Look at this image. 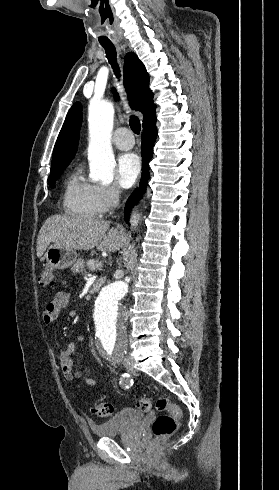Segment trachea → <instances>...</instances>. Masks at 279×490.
I'll return each instance as SVG.
<instances>
[{"label": "trachea", "instance_id": "1", "mask_svg": "<svg viewBox=\"0 0 279 490\" xmlns=\"http://www.w3.org/2000/svg\"><path fill=\"white\" fill-rule=\"evenodd\" d=\"M106 56L112 65L114 72L117 76H119V68L116 63V50L115 47L113 46H104ZM129 125L131 127V130L136 133L137 135L140 133L141 125H140V120L136 116H131L129 120Z\"/></svg>", "mask_w": 279, "mask_h": 490}]
</instances>
